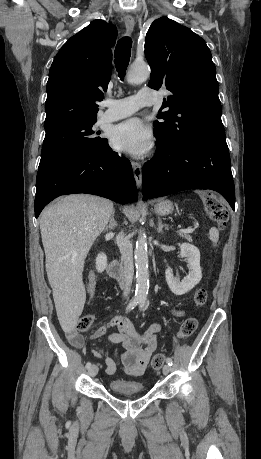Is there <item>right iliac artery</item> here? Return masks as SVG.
<instances>
[{
    "mask_svg": "<svg viewBox=\"0 0 261 459\" xmlns=\"http://www.w3.org/2000/svg\"><path fill=\"white\" fill-rule=\"evenodd\" d=\"M138 303H139V301L137 299L131 300L130 303L128 304L127 308H126V312H129V311L133 310ZM90 367H91V363L87 362L86 363V368L89 369Z\"/></svg>",
    "mask_w": 261,
    "mask_h": 459,
    "instance_id": "right-iliac-artery-1",
    "label": "right iliac artery"
}]
</instances>
